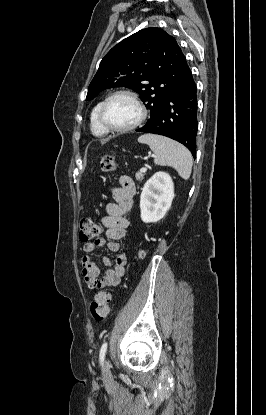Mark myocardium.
I'll list each match as a JSON object with an SVG mask.
<instances>
[{"instance_id":"f54148a6","label":"myocardium","mask_w":266,"mask_h":415,"mask_svg":"<svg viewBox=\"0 0 266 415\" xmlns=\"http://www.w3.org/2000/svg\"><path fill=\"white\" fill-rule=\"evenodd\" d=\"M118 96H127L129 97L138 107L139 109V117L137 118V120L132 123L129 126L126 127H114L111 126L105 117V113H106V108L109 104V102ZM147 117V110L146 107L144 106V104L142 103L141 99L139 98V96L131 91V90H127V89H121V90H117L113 93H111L110 95H108L105 100L102 102L101 108H100V112H99V120L101 125L104 127V129H106L108 132H115V133H124V132H129L132 131L134 129H136L137 127H139L146 119Z\"/></svg>"}]
</instances>
